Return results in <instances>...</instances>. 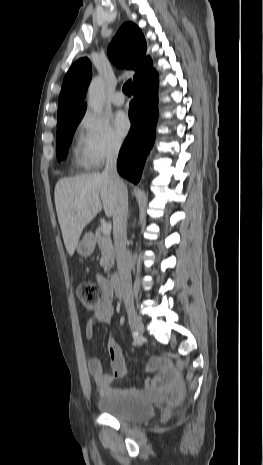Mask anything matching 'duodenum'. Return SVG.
Listing matches in <instances>:
<instances>
[{
    "label": "duodenum",
    "mask_w": 263,
    "mask_h": 465,
    "mask_svg": "<svg viewBox=\"0 0 263 465\" xmlns=\"http://www.w3.org/2000/svg\"><path fill=\"white\" fill-rule=\"evenodd\" d=\"M111 287L113 288L117 297L121 298L123 296V289L121 279L118 274H112L109 280Z\"/></svg>",
    "instance_id": "obj_1"
}]
</instances>
